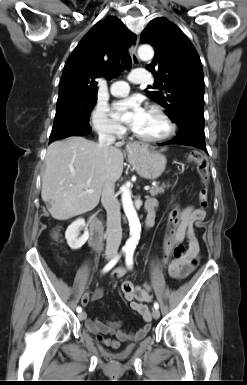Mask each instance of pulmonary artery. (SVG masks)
Segmentation results:
<instances>
[{
  "label": "pulmonary artery",
  "instance_id": "e3ab8cb5",
  "mask_svg": "<svg viewBox=\"0 0 247 385\" xmlns=\"http://www.w3.org/2000/svg\"><path fill=\"white\" fill-rule=\"evenodd\" d=\"M129 81L135 84L148 83L147 72L144 69L133 71L129 77ZM110 91L115 96H123L128 93L129 85L125 81H115L110 86Z\"/></svg>",
  "mask_w": 247,
  "mask_h": 385
}]
</instances>
